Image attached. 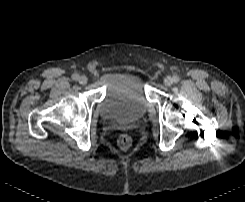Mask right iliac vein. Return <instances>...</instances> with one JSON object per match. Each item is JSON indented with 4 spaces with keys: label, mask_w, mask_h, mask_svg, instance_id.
<instances>
[{
    "label": "right iliac vein",
    "mask_w": 245,
    "mask_h": 202,
    "mask_svg": "<svg viewBox=\"0 0 245 202\" xmlns=\"http://www.w3.org/2000/svg\"><path fill=\"white\" fill-rule=\"evenodd\" d=\"M78 81H79V83H80L81 85H85V84L87 83L88 79H87L86 76L83 75V76H80V77H79Z\"/></svg>",
    "instance_id": "right-iliac-vein-1"
}]
</instances>
